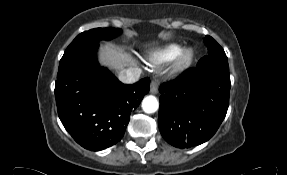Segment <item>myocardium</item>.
I'll return each instance as SVG.
<instances>
[{"instance_id":"f54148a6","label":"myocardium","mask_w":287,"mask_h":175,"mask_svg":"<svg viewBox=\"0 0 287 175\" xmlns=\"http://www.w3.org/2000/svg\"><path fill=\"white\" fill-rule=\"evenodd\" d=\"M196 51L194 47L187 46L180 50L176 58L174 59L172 72L180 73L187 69L194 61Z\"/></svg>"}]
</instances>
